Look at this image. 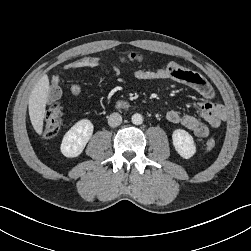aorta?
<instances>
[{"label":"aorta","instance_id":"aorta-1","mask_svg":"<svg viewBox=\"0 0 251 251\" xmlns=\"http://www.w3.org/2000/svg\"><path fill=\"white\" fill-rule=\"evenodd\" d=\"M131 120H132V123H133L134 125H140V124H142V122H143V116H142L141 114H139V113H135V114L132 116Z\"/></svg>","mask_w":251,"mask_h":251}]
</instances>
